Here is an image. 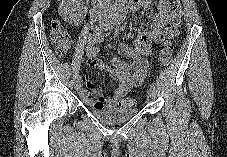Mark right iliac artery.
Wrapping results in <instances>:
<instances>
[{"instance_id":"right-iliac-artery-1","label":"right iliac artery","mask_w":227,"mask_h":157,"mask_svg":"<svg viewBox=\"0 0 227 157\" xmlns=\"http://www.w3.org/2000/svg\"><path fill=\"white\" fill-rule=\"evenodd\" d=\"M97 32L95 33L96 36H98V40L99 41H102L103 40V37L101 35V31H99V29L96 30ZM75 78L77 79H81V76L78 75V73L75 74Z\"/></svg>"}]
</instances>
